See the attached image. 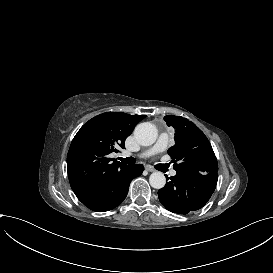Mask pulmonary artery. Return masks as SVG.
Segmentation results:
<instances>
[{
  "instance_id": "pulmonary-artery-1",
  "label": "pulmonary artery",
  "mask_w": 273,
  "mask_h": 273,
  "mask_svg": "<svg viewBox=\"0 0 273 273\" xmlns=\"http://www.w3.org/2000/svg\"><path fill=\"white\" fill-rule=\"evenodd\" d=\"M170 139H171L170 134L168 133L163 134L162 138L159 139L158 144L151 147V149L137 152L136 154L137 159L139 160L149 159L163 152L164 150L167 149Z\"/></svg>"
}]
</instances>
